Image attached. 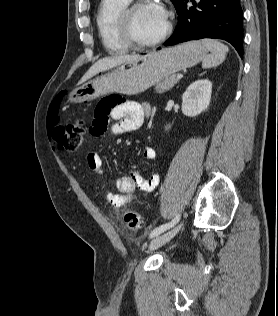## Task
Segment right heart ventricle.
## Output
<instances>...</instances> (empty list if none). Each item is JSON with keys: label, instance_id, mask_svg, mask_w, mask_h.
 <instances>
[{"label": "right heart ventricle", "instance_id": "e07e8e85", "mask_svg": "<svg viewBox=\"0 0 278 316\" xmlns=\"http://www.w3.org/2000/svg\"><path fill=\"white\" fill-rule=\"evenodd\" d=\"M130 1L101 0L99 4L96 25L103 46L110 53L121 54L129 49V45L121 34L119 19L121 12Z\"/></svg>", "mask_w": 278, "mask_h": 316}]
</instances>
